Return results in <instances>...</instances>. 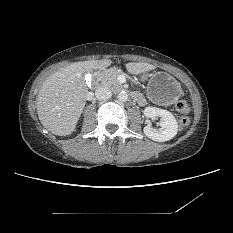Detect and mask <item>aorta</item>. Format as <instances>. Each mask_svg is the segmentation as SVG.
Returning <instances> with one entry per match:
<instances>
[{
    "label": "aorta",
    "instance_id": "762f6f07",
    "mask_svg": "<svg viewBox=\"0 0 233 233\" xmlns=\"http://www.w3.org/2000/svg\"><path fill=\"white\" fill-rule=\"evenodd\" d=\"M118 100L121 102H125L128 100V94L124 91L120 92L117 96Z\"/></svg>",
    "mask_w": 233,
    "mask_h": 233
}]
</instances>
